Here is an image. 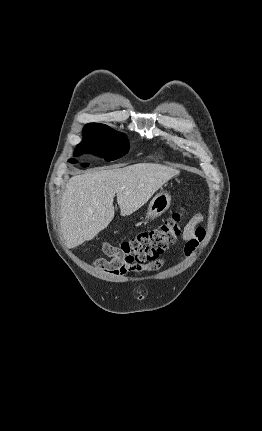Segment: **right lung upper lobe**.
Returning <instances> with one entry per match:
<instances>
[{
  "label": "right lung upper lobe",
  "mask_w": 262,
  "mask_h": 431,
  "mask_svg": "<svg viewBox=\"0 0 262 431\" xmlns=\"http://www.w3.org/2000/svg\"><path fill=\"white\" fill-rule=\"evenodd\" d=\"M86 126H103V124H98V123H89Z\"/></svg>",
  "instance_id": "obj_1"
}]
</instances>
